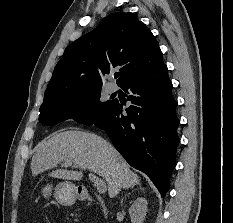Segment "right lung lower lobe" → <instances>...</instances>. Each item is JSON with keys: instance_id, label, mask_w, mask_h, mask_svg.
Wrapping results in <instances>:
<instances>
[{"instance_id": "right-lung-lower-lobe-1", "label": "right lung lower lobe", "mask_w": 233, "mask_h": 223, "mask_svg": "<svg viewBox=\"0 0 233 223\" xmlns=\"http://www.w3.org/2000/svg\"><path fill=\"white\" fill-rule=\"evenodd\" d=\"M121 87L133 105L123 114L122 103L113 100L91 124L105 130L125 160L147 174L164 197L179 143L178 104L172 96L167 66L162 63L140 73Z\"/></svg>"}]
</instances>
